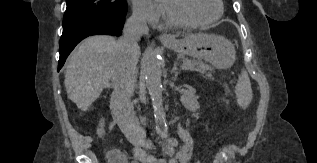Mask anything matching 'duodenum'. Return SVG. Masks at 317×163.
I'll use <instances>...</instances> for the list:
<instances>
[{"label":"duodenum","mask_w":317,"mask_h":163,"mask_svg":"<svg viewBox=\"0 0 317 163\" xmlns=\"http://www.w3.org/2000/svg\"><path fill=\"white\" fill-rule=\"evenodd\" d=\"M136 149H138V148H136ZM119 152H120V151H119L118 149H112V150H111V153H112L113 155H117Z\"/></svg>","instance_id":"1"}]
</instances>
